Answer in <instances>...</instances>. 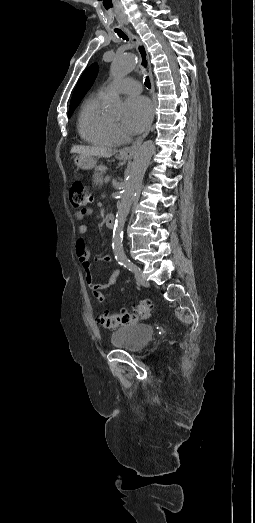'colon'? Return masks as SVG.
Returning a JSON list of instances; mask_svg holds the SVG:
<instances>
[{
    "instance_id": "5ec220e1",
    "label": "colon",
    "mask_w": 255,
    "mask_h": 523,
    "mask_svg": "<svg viewBox=\"0 0 255 523\" xmlns=\"http://www.w3.org/2000/svg\"><path fill=\"white\" fill-rule=\"evenodd\" d=\"M69 200L74 208H85L88 202V196L85 187L81 182H73L69 190ZM94 295L99 302L105 300L104 295L97 290H94ZM152 310L153 306L149 301H142L137 305L134 312L122 311L117 314L103 313L99 317V322L106 329H114L119 326L146 320L150 317Z\"/></svg>"
}]
</instances>
